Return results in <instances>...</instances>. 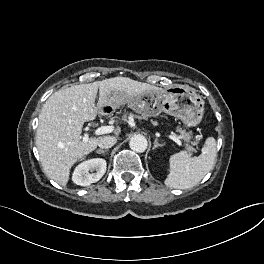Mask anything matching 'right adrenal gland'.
I'll return each mask as SVG.
<instances>
[{
    "label": "right adrenal gland",
    "mask_w": 264,
    "mask_h": 264,
    "mask_svg": "<svg viewBox=\"0 0 264 264\" xmlns=\"http://www.w3.org/2000/svg\"><path fill=\"white\" fill-rule=\"evenodd\" d=\"M108 151H109L108 149H106V150L98 149V150H96V153L105 155Z\"/></svg>",
    "instance_id": "obj_1"
}]
</instances>
